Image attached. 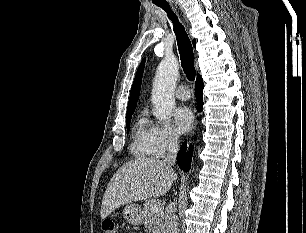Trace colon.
I'll list each match as a JSON object with an SVG mask.
<instances>
[{"label": "colon", "mask_w": 306, "mask_h": 233, "mask_svg": "<svg viewBox=\"0 0 306 233\" xmlns=\"http://www.w3.org/2000/svg\"><path fill=\"white\" fill-rule=\"evenodd\" d=\"M101 233H117L115 224L113 222L104 223L101 227Z\"/></svg>", "instance_id": "obj_1"}]
</instances>
